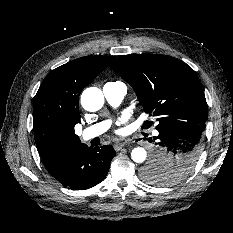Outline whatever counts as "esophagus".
<instances>
[{"instance_id": "obj_1", "label": "esophagus", "mask_w": 233, "mask_h": 233, "mask_svg": "<svg viewBox=\"0 0 233 233\" xmlns=\"http://www.w3.org/2000/svg\"><path fill=\"white\" fill-rule=\"evenodd\" d=\"M127 143V141H117L115 144H114V149L116 151H119L122 147L125 146V144Z\"/></svg>"}]
</instances>
